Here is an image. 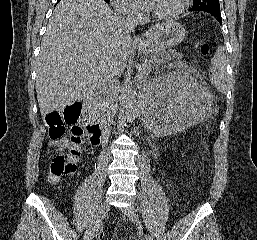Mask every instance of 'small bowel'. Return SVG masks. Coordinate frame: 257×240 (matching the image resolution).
<instances>
[{"instance_id":"obj_1","label":"small bowel","mask_w":257,"mask_h":240,"mask_svg":"<svg viewBox=\"0 0 257 240\" xmlns=\"http://www.w3.org/2000/svg\"><path fill=\"white\" fill-rule=\"evenodd\" d=\"M48 146L50 148L55 149L57 151V153H59V152H63V150L67 147V142L64 139L51 140L49 142Z\"/></svg>"}]
</instances>
